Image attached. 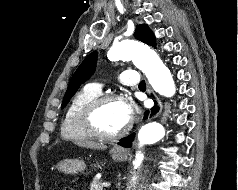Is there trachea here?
Masks as SVG:
<instances>
[{
  "instance_id": "3493384b",
  "label": "trachea",
  "mask_w": 238,
  "mask_h": 190,
  "mask_svg": "<svg viewBox=\"0 0 238 190\" xmlns=\"http://www.w3.org/2000/svg\"><path fill=\"white\" fill-rule=\"evenodd\" d=\"M146 87V83L145 81H141L140 84H139V88H145Z\"/></svg>"
}]
</instances>
